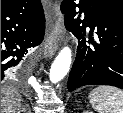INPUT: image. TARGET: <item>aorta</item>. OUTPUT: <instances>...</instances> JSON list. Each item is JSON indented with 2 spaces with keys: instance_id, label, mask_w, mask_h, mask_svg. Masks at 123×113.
Listing matches in <instances>:
<instances>
[{
  "instance_id": "762f6f07",
  "label": "aorta",
  "mask_w": 123,
  "mask_h": 113,
  "mask_svg": "<svg viewBox=\"0 0 123 113\" xmlns=\"http://www.w3.org/2000/svg\"><path fill=\"white\" fill-rule=\"evenodd\" d=\"M71 65V50L64 47L51 65L49 79L52 83H58L68 73Z\"/></svg>"
}]
</instances>
